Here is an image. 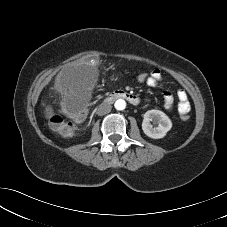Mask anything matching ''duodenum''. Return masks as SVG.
<instances>
[{
	"mask_svg": "<svg viewBox=\"0 0 227 227\" xmlns=\"http://www.w3.org/2000/svg\"><path fill=\"white\" fill-rule=\"evenodd\" d=\"M117 99H124L131 103L132 105H138L140 103V99L137 95L124 91V90H115L111 92L104 100L105 103L114 102Z\"/></svg>",
	"mask_w": 227,
	"mask_h": 227,
	"instance_id": "410a0bca",
	"label": "duodenum"
}]
</instances>
